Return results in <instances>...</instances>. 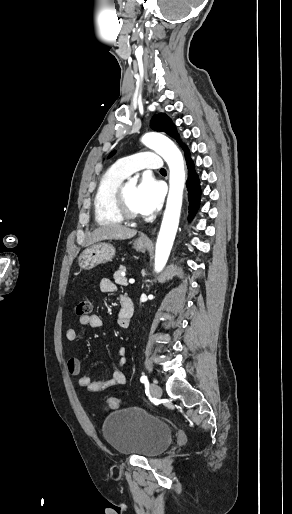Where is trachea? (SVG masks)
I'll return each instance as SVG.
<instances>
[{"instance_id": "trachea-1", "label": "trachea", "mask_w": 292, "mask_h": 514, "mask_svg": "<svg viewBox=\"0 0 292 514\" xmlns=\"http://www.w3.org/2000/svg\"><path fill=\"white\" fill-rule=\"evenodd\" d=\"M161 171H165V169H161Z\"/></svg>"}]
</instances>
